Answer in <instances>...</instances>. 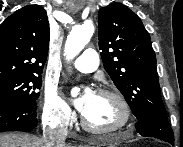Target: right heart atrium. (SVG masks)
Segmentation results:
<instances>
[{
	"label": "right heart atrium",
	"instance_id": "right-heart-atrium-1",
	"mask_svg": "<svg viewBox=\"0 0 183 147\" xmlns=\"http://www.w3.org/2000/svg\"><path fill=\"white\" fill-rule=\"evenodd\" d=\"M43 122L49 127L67 130L71 126L74 113L53 85L45 88L42 102Z\"/></svg>",
	"mask_w": 183,
	"mask_h": 147
}]
</instances>
